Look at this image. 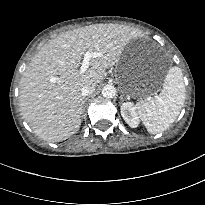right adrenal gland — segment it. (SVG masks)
Returning <instances> with one entry per match:
<instances>
[{
  "label": "right adrenal gland",
  "instance_id": "1",
  "mask_svg": "<svg viewBox=\"0 0 205 205\" xmlns=\"http://www.w3.org/2000/svg\"><path fill=\"white\" fill-rule=\"evenodd\" d=\"M85 111V101H84V107H83V112Z\"/></svg>",
  "mask_w": 205,
  "mask_h": 205
}]
</instances>
